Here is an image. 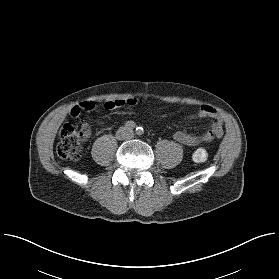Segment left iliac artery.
<instances>
[{"label":"left iliac artery","mask_w":279,"mask_h":279,"mask_svg":"<svg viewBox=\"0 0 279 279\" xmlns=\"http://www.w3.org/2000/svg\"><path fill=\"white\" fill-rule=\"evenodd\" d=\"M136 133L138 135H141L143 133V128H141V127L136 128Z\"/></svg>","instance_id":"1"}]
</instances>
